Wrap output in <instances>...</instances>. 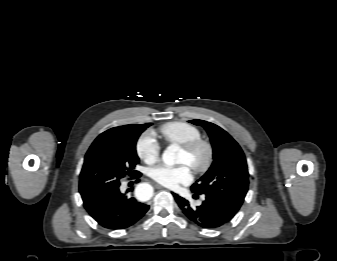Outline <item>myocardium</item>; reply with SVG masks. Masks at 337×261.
Returning a JSON list of instances; mask_svg holds the SVG:
<instances>
[{
  "label": "myocardium",
  "instance_id": "obj_1",
  "mask_svg": "<svg viewBox=\"0 0 337 261\" xmlns=\"http://www.w3.org/2000/svg\"><path fill=\"white\" fill-rule=\"evenodd\" d=\"M181 148L190 155L195 154L200 149L205 151V158L201 163H193L190 165L196 173L203 174L211 168L214 162L215 151L209 140L200 137L182 144Z\"/></svg>",
  "mask_w": 337,
  "mask_h": 261
}]
</instances>
